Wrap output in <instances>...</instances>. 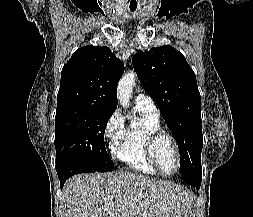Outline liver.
<instances>
[{
  "mask_svg": "<svg viewBox=\"0 0 253 217\" xmlns=\"http://www.w3.org/2000/svg\"><path fill=\"white\" fill-rule=\"evenodd\" d=\"M65 217H186L184 187L129 172L72 177L64 186Z\"/></svg>",
  "mask_w": 253,
  "mask_h": 217,
  "instance_id": "liver-1",
  "label": "liver"
}]
</instances>
